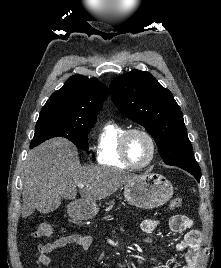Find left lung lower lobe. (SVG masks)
<instances>
[{
    "instance_id": "left-lung-lower-lobe-1",
    "label": "left lung lower lobe",
    "mask_w": 221,
    "mask_h": 268,
    "mask_svg": "<svg viewBox=\"0 0 221 268\" xmlns=\"http://www.w3.org/2000/svg\"><path fill=\"white\" fill-rule=\"evenodd\" d=\"M175 166H178V167L188 171L197 179L198 182H200L201 172H200V167L196 161L184 162V163L177 164Z\"/></svg>"
}]
</instances>
